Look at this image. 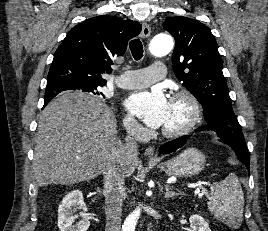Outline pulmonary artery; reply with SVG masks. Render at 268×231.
<instances>
[{"mask_svg":"<svg viewBox=\"0 0 268 231\" xmlns=\"http://www.w3.org/2000/svg\"><path fill=\"white\" fill-rule=\"evenodd\" d=\"M166 66L161 62H154L146 67L128 71L124 77L115 78V83L123 89L142 88L153 84L164 77Z\"/></svg>","mask_w":268,"mask_h":231,"instance_id":"e3ab8cb5","label":"pulmonary artery"}]
</instances>
